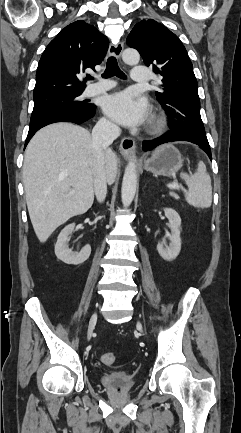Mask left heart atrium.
<instances>
[{
	"label": "left heart atrium",
	"mask_w": 241,
	"mask_h": 433,
	"mask_svg": "<svg viewBox=\"0 0 241 433\" xmlns=\"http://www.w3.org/2000/svg\"><path fill=\"white\" fill-rule=\"evenodd\" d=\"M105 114L113 121L127 127L141 125L148 116L145 101L129 92H118L107 96L103 102Z\"/></svg>",
	"instance_id": "1"
}]
</instances>
